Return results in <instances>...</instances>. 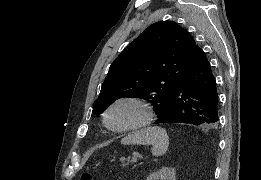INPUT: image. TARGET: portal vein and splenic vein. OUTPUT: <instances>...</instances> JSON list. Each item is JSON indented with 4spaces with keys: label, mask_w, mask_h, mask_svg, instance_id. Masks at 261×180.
I'll return each mask as SVG.
<instances>
[{
    "label": "portal vein and splenic vein",
    "mask_w": 261,
    "mask_h": 180,
    "mask_svg": "<svg viewBox=\"0 0 261 180\" xmlns=\"http://www.w3.org/2000/svg\"><path fill=\"white\" fill-rule=\"evenodd\" d=\"M132 160H134V161H139V160H140V154H138V153H133V154H132Z\"/></svg>",
    "instance_id": "1"
}]
</instances>
